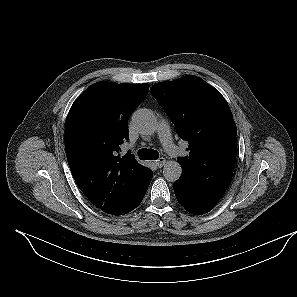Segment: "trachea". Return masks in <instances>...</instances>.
Instances as JSON below:
<instances>
[{
    "instance_id": "3493384b",
    "label": "trachea",
    "mask_w": 297,
    "mask_h": 297,
    "mask_svg": "<svg viewBox=\"0 0 297 297\" xmlns=\"http://www.w3.org/2000/svg\"><path fill=\"white\" fill-rule=\"evenodd\" d=\"M138 156L140 160H157L159 153L154 149L143 148L138 151Z\"/></svg>"
}]
</instances>
